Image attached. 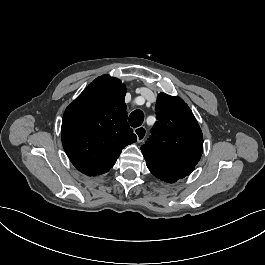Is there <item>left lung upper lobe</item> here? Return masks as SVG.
<instances>
[{"label": "left lung upper lobe", "mask_w": 265, "mask_h": 265, "mask_svg": "<svg viewBox=\"0 0 265 265\" xmlns=\"http://www.w3.org/2000/svg\"><path fill=\"white\" fill-rule=\"evenodd\" d=\"M157 121L141 151L150 172L174 183L191 174L203 152L201 129L187 104L179 97L160 93Z\"/></svg>", "instance_id": "5c2ea615"}]
</instances>
